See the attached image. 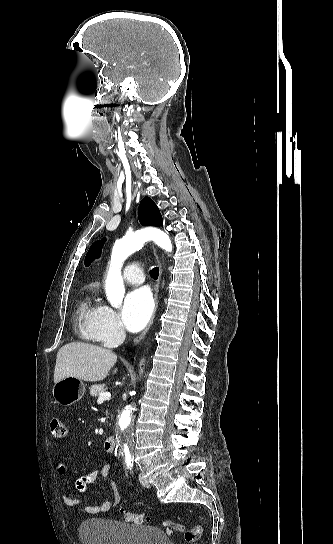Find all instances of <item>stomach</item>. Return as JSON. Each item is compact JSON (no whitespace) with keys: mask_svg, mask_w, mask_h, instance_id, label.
Wrapping results in <instances>:
<instances>
[{"mask_svg":"<svg viewBox=\"0 0 333 544\" xmlns=\"http://www.w3.org/2000/svg\"><path fill=\"white\" fill-rule=\"evenodd\" d=\"M52 393L56 403L70 406L83 397L85 385L76 377H65L55 383Z\"/></svg>","mask_w":333,"mask_h":544,"instance_id":"1","label":"stomach"}]
</instances>
